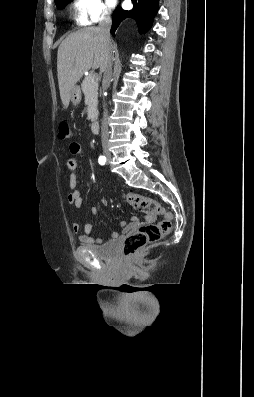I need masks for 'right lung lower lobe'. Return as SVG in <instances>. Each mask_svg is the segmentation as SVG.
Masks as SVG:
<instances>
[{
	"label": "right lung lower lobe",
	"instance_id": "1",
	"mask_svg": "<svg viewBox=\"0 0 254 397\" xmlns=\"http://www.w3.org/2000/svg\"><path fill=\"white\" fill-rule=\"evenodd\" d=\"M159 0H132L134 8L130 11L116 8L112 18L111 34L123 21L131 20L136 23L140 33L146 32L152 25L155 14L158 11Z\"/></svg>",
	"mask_w": 254,
	"mask_h": 397
}]
</instances>
